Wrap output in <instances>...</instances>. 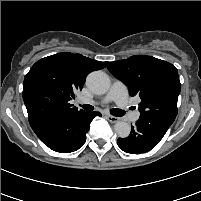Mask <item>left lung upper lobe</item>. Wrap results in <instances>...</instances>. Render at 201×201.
I'll use <instances>...</instances> for the list:
<instances>
[{
	"instance_id": "5c2ea615",
	"label": "left lung upper lobe",
	"mask_w": 201,
	"mask_h": 201,
	"mask_svg": "<svg viewBox=\"0 0 201 201\" xmlns=\"http://www.w3.org/2000/svg\"><path fill=\"white\" fill-rule=\"evenodd\" d=\"M106 65L116 78L129 87L131 96H140L139 119L174 122L181 90L174 65L146 55L106 62Z\"/></svg>"
}]
</instances>
